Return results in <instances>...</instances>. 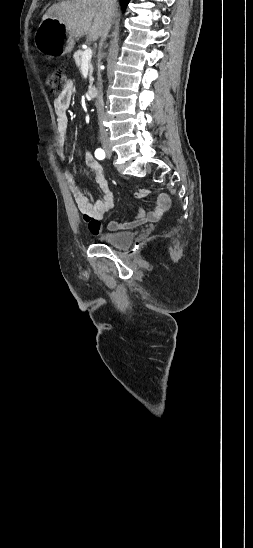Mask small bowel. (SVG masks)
I'll list each match as a JSON object with an SVG mask.
<instances>
[{
	"label": "small bowel",
	"instance_id": "obj_1",
	"mask_svg": "<svg viewBox=\"0 0 253 548\" xmlns=\"http://www.w3.org/2000/svg\"><path fill=\"white\" fill-rule=\"evenodd\" d=\"M73 93L74 84L72 81H69L67 82L64 91L59 94L53 102V108L56 115V136L54 139V145L57 155L63 160L66 158L65 142L69 125L68 111L71 105ZM85 163L92 171L93 180L101 194L100 198L90 201L89 197L83 194L78 188L74 175L71 172H65L64 179L73 194L79 211L85 216L88 230L92 234L98 235L102 231L100 221L107 212L114 208L115 197L109 189L107 180L103 174L102 166L89 150L85 153ZM148 194L149 190L146 188H142L134 192V196L139 199L146 198ZM169 206V196L166 194H161L153 210L147 211L144 206H141L138 215L134 219L128 222L112 221L109 223L108 228L109 230L117 231L155 221L169 208Z\"/></svg>",
	"mask_w": 253,
	"mask_h": 548
}]
</instances>
